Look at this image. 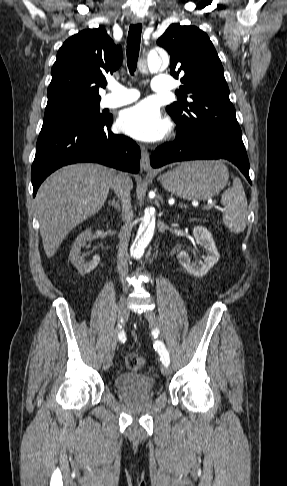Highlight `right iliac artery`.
Returning <instances> with one entry per match:
<instances>
[{"label": "right iliac artery", "instance_id": "obj_1", "mask_svg": "<svg viewBox=\"0 0 287 486\" xmlns=\"http://www.w3.org/2000/svg\"><path fill=\"white\" fill-rule=\"evenodd\" d=\"M118 338H119L120 340H122V341H124V340H125V333H124V331H122V332H120V333L118 334Z\"/></svg>", "mask_w": 287, "mask_h": 486}]
</instances>
